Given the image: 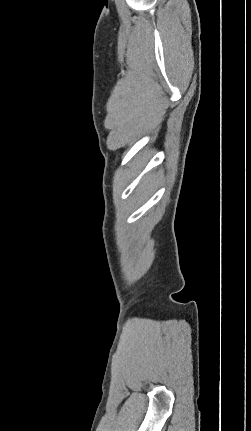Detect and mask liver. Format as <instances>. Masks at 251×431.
<instances>
[{
  "mask_svg": "<svg viewBox=\"0 0 251 431\" xmlns=\"http://www.w3.org/2000/svg\"><path fill=\"white\" fill-rule=\"evenodd\" d=\"M151 181V176H147L141 183V189H145L146 188V183Z\"/></svg>",
  "mask_w": 251,
  "mask_h": 431,
  "instance_id": "6515ba94",
  "label": "liver"
}]
</instances>
